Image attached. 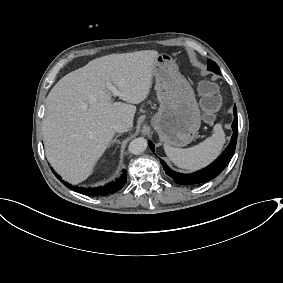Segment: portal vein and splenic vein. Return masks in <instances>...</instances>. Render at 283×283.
<instances>
[{"mask_svg": "<svg viewBox=\"0 0 283 283\" xmlns=\"http://www.w3.org/2000/svg\"><path fill=\"white\" fill-rule=\"evenodd\" d=\"M106 87L114 96H120V91L111 82H107Z\"/></svg>", "mask_w": 283, "mask_h": 283, "instance_id": "portal-vein-and-splenic-vein-1", "label": "portal vein and splenic vein"}]
</instances>
